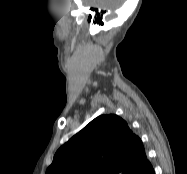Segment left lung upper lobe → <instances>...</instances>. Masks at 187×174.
Listing matches in <instances>:
<instances>
[{
    "label": "left lung upper lobe",
    "mask_w": 187,
    "mask_h": 174,
    "mask_svg": "<svg viewBox=\"0 0 187 174\" xmlns=\"http://www.w3.org/2000/svg\"><path fill=\"white\" fill-rule=\"evenodd\" d=\"M149 165L140 138L110 114L98 116L59 148L46 174H132Z\"/></svg>",
    "instance_id": "1"
}]
</instances>
